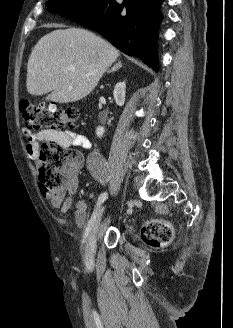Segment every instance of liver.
Wrapping results in <instances>:
<instances>
[{"mask_svg":"<svg viewBox=\"0 0 233 328\" xmlns=\"http://www.w3.org/2000/svg\"><path fill=\"white\" fill-rule=\"evenodd\" d=\"M119 55L114 46L87 30L52 31L30 54L27 91L37 96L50 93L46 100L57 103L78 101L93 91Z\"/></svg>","mask_w":233,"mask_h":328,"instance_id":"6515ba94","label":"liver"}]
</instances>
